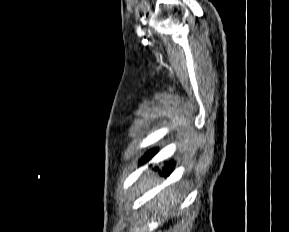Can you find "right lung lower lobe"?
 I'll return each instance as SVG.
<instances>
[{
	"instance_id": "obj_1",
	"label": "right lung lower lobe",
	"mask_w": 289,
	"mask_h": 232,
	"mask_svg": "<svg viewBox=\"0 0 289 232\" xmlns=\"http://www.w3.org/2000/svg\"><path fill=\"white\" fill-rule=\"evenodd\" d=\"M157 152L156 149L148 152L145 157L142 159V163L148 161L155 153ZM174 168V163L172 161H170L169 163H167L164 168H163V173H161L162 175L165 174L166 176H168L172 169ZM158 168H156L157 170Z\"/></svg>"
}]
</instances>
